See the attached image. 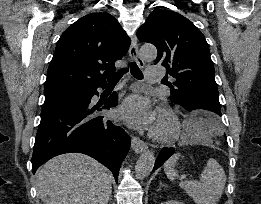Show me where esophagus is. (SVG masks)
<instances>
[{"instance_id": "1", "label": "esophagus", "mask_w": 261, "mask_h": 204, "mask_svg": "<svg viewBox=\"0 0 261 204\" xmlns=\"http://www.w3.org/2000/svg\"><path fill=\"white\" fill-rule=\"evenodd\" d=\"M129 56L133 61H135L138 64L139 67L143 68L145 66L144 61L139 56L138 43L137 38L135 36L133 37L129 48ZM131 146L132 149L137 153H142L148 148L147 144L138 137H132Z\"/></svg>"}]
</instances>
